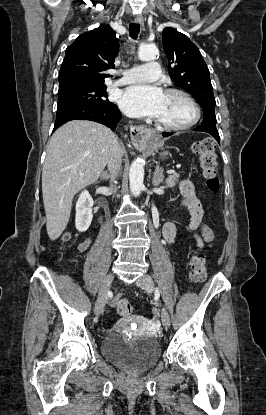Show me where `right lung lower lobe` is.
<instances>
[{"instance_id": "obj_1", "label": "right lung lower lobe", "mask_w": 266, "mask_h": 415, "mask_svg": "<svg viewBox=\"0 0 266 415\" xmlns=\"http://www.w3.org/2000/svg\"><path fill=\"white\" fill-rule=\"evenodd\" d=\"M121 119V113L116 105L98 107L82 104H67L57 107L56 122L53 132L64 123L71 120H90L110 127L113 131Z\"/></svg>"}]
</instances>
